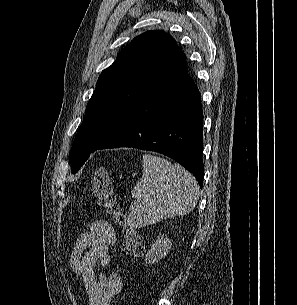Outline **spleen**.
Returning <instances> with one entry per match:
<instances>
[{
	"instance_id": "3e777b00",
	"label": "spleen",
	"mask_w": 297,
	"mask_h": 305,
	"mask_svg": "<svg viewBox=\"0 0 297 305\" xmlns=\"http://www.w3.org/2000/svg\"><path fill=\"white\" fill-rule=\"evenodd\" d=\"M142 163V177L131 191L137 202L126 220L131 228L149 226L195 208L198 184L182 166L150 154L143 155Z\"/></svg>"
}]
</instances>
